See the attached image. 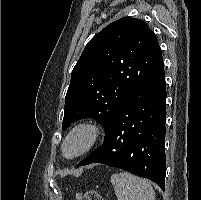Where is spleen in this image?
<instances>
[{
	"label": "spleen",
	"instance_id": "obj_1",
	"mask_svg": "<svg viewBox=\"0 0 201 200\" xmlns=\"http://www.w3.org/2000/svg\"><path fill=\"white\" fill-rule=\"evenodd\" d=\"M118 200H155V193L149 181L128 172L111 175Z\"/></svg>",
	"mask_w": 201,
	"mask_h": 200
}]
</instances>
